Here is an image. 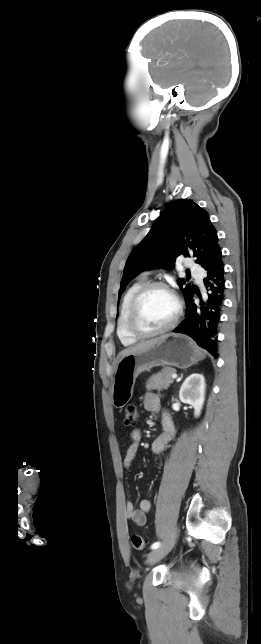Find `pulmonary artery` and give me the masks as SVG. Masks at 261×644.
I'll list each match as a JSON object with an SVG mask.
<instances>
[{
    "label": "pulmonary artery",
    "instance_id": "pulmonary-artery-1",
    "mask_svg": "<svg viewBox=\"0 0 261 644\" xmlns=\"http://www.w3.org/2000/svg\"><path fill=\"white\" fill-rule=\"evenodd\" d=\"M188 267H189V268H190V270L194 273V275H195V276H196V278L198 279V282H199V283H202V277H203V274H202L201 269H200L196 264H194V263H192V262H189V263H188Z\"/></svg>",
    "mask_w": 261,
    "mask_h": 644
}]
</instances>
